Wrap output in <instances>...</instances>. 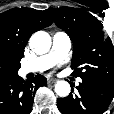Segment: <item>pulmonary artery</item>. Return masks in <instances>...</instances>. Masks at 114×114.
<instances>
[{"mask_svg":"<svg viewBox=\"0 0 114 114\" xmlns=\"http://www.w3.org/2000/svg\"><path fill=\"white\" fill-rule=\"evenodd\" d=\"M70 48L71 40L69 36L64 32H56L52 38L50 51L24 63L20 68V72L25 75L31 72L46 71L60 63L67 56ZM80 81L78 79V82Z\"/></svg>","mask_w":114,"mask_h":114,"instance_id":"e3ab8cb5","label":"pulmonary artery"}]
</instances>
